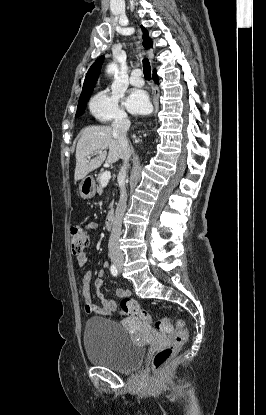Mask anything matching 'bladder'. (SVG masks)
Returning <instances> with one entry per match:
<instances>
[{
  "label": "bladder",
  "instance_id": "31cf9c89",
  "mask_svg": "<svg viewBox=\"0 0 266 415\" xmlns=\"http://www.w3.org/2000/svg\"><path fill=\"white\" fill-rule=\"evenodd\" d=\"M87 359L94 365L119 372L136 369L142 362L145 349L118 322L107 318H90L83 332Z\"/></svg>",
  "mask_w": 266,
  "mask_h": 415
}]
</instances>
